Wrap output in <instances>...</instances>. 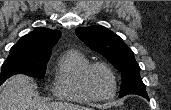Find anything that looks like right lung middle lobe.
Instances as JSON below:
<instances>
[{
    "mask_svg": "<svg viewBox=\"0 0 171 110\" xmlns=\"http://www.w3.org/2000/svg\"><path fill=\"white\" fill-rule=\"evenodd\" d=\"M50 55H25L10 50L1 68L0 84L15 74H26L34 78H44Z\"/></svg>",
    "mask_w": 171,
    "mask_h": 110,
    "instance_id": "1",
    "label": "right lung middle lobe"
}]
</instances>
